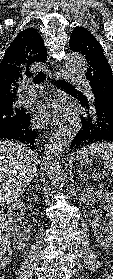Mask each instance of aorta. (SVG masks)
Instances as JSON below:
<instances>
[{
	"label": "aorta",
	"instance_id": "1",
	"mask_svg": "<svg viewBox=\"0 0 113 279\" xmlns=\"http://www.w3.org/2000/svg\"><path fill=\"white\" fill-rule=\"evenodd\" d=\"M66 69L75 75L84 76L87 63L84 57L76 52H67L65 56ZM82 128V121L79 117H73L69 124L60 129L46 146L43 168L49 179L57 187L63 186V174L60 164V155L72 140L78 135Z\"/></svg>",
	"mask_w": 113,
	"mask_h": 279
}]
</instances>
